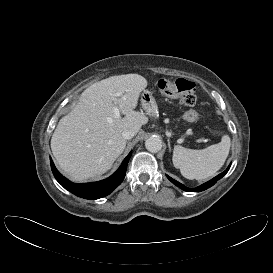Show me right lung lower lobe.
I'll list each match as a JSON object with an SVG mask.
<instances>
[{
    "mask_svg": "<svg viewBox=\"0 0 273 273\" xmlns=\"http://www.w3.org/2000/svg\"><path fill=\"white\" fill-rule=\"evenodd\" d=\"M131 155H132V152H130L127 155V157L123 160L119 169L110 177L99 182L84 183V184H77V183L70 182L57 171L52 159H50V163H51L52 172L56 180L65 189H67L71 193L81 198L94 200V199H99V198L107 196L117 186H119L122 183L126 174L127 165Z\"/></svg>",
    "mask_w": 273,
    "mask_h": 273,
    "instance_id": "1",
    "label": "right lung lower lobe"
}]
</instances>
